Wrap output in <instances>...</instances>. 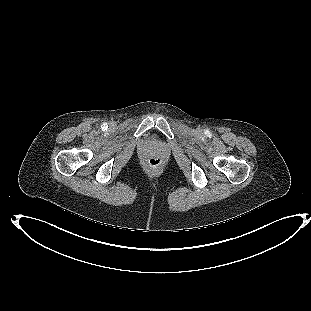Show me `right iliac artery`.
Instances as JSON below:
<instances>
[{"label": "right iliac artery", "instance_id": "obj_1", "mask_svg": "<svg viewBox=\"0 0 311 311\" xmlns=\"http://www.w3.org/2000/svg\"><path fill=\"white\" fill-rule=\"evenodd\" d=\"M108 127L107 123H103L102 128L106 129Z\"/></svg>", "mask_w": 311, "mask_h": 311}]
</instances>
